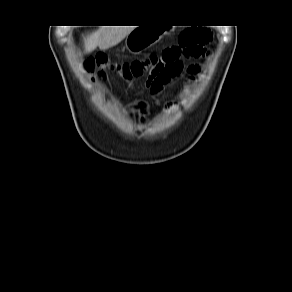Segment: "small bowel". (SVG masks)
<instances>
[{
    "label": "small bowel",
    "instance_id": "1",
    "mask_svg": "<svg viewBox=\"0 0 292 292\" xmlns=\"http://www.w3.org/2000/svg\"><path fill=\"white\" fill-rule=\"evenodd\" d=\"M191 72L192 73H197L198 72V68L197 67L192 68L191 69ZM162 86L163 85H160L159 87H157L156 89H154L153 92H155V93L159 92L161 90ZM170 105H172V104H170Z\"/></svg>",
    "mask_w": 292,
    "mask_h": 292
}]
</instances>
